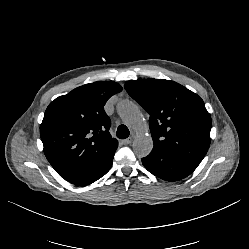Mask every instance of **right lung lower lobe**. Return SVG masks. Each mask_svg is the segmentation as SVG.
<instances>
[{
	"instance_id": "98d812e1",
	"label": "right lung lower lobe",
	"mask_w": 249,
	"mask_h": 249,
	"mask_svg": "<svg viewBox=\"0 0 249 249\" xmlns=\"http://www.w3.org/2000/svg\"><path fill=\"white\" fill-rule=\"evenodd\" d=\"M117 148L107 154L100 162L94 165L91 169L83 174L68 180L72 184L87 185L95 182L102 176H104L111 168L113 163V157Z\"/></svg>"
}]
</instances>
